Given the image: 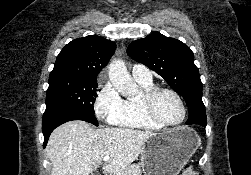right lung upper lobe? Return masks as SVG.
<instances>
[{
	"mask_svg": "<svg viewBox=\"0 0 251 175\" xmlns=\"http://www.w3.org/2000/svg\"><path fill=\"white\" fill-rule=\"evenodd\" d=\"M116 44L97 35L77 38L57 56L50 79L97 85V75L114 54Z\"/></svg>",
	"mask_w": 251,
	"mask_h": 175,
	"instance_id": "right-lung-upper-lobe-1",
	"label": "right lung upper lobe"
}]
</instances>
